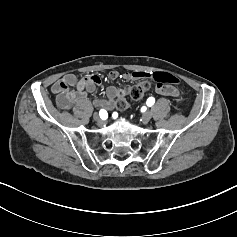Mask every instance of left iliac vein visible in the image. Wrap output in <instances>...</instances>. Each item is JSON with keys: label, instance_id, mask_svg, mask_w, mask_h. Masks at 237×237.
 <instances>
[{"label": "left iliac vein", "instance_id": "left-iliac-vein-1", "mask_svg": "<svg viewBox=\"0 0 237 237\" xmlns=\"http://www.w3.org/2000/svg\"><path fill=\"white\" fill-rule=\"evenodd\" d=\"M152 118V114L150 111H146L142 114V121L144 124L148 123V121Z\"/></svg>", "mask_w": 237, "mask_h": 237}]
</instances>
